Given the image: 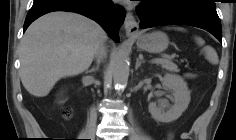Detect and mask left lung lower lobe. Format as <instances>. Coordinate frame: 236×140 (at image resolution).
Returning a JSON list of instances; mask_svg holds the SVG:
<instances>
[{"label":"left lung lower lobe","instance_id":"obj_1","mask_svg":"<svg viewBox=\"0 0 236 140\" xmlns=\"http://www.w3.org/2000/svg\"><path fill=\"white\" fill-rule=\"evenodd\" d=\"M140 28L189 25L202 28L222 41L216 6L192 0H143L137 8Z\"/></svg>","mask_w":236,"mask_h":140}]
</instances>
